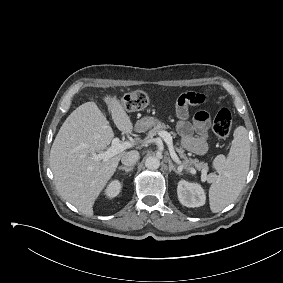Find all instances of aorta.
<instances>
[{
    "mask_svg": "<svg viewBox=\"0 0 283 283\" xmlns=\"http://www.w3.org/2000/svg\"><path fill=\"white\" fill-rule=\"evenodd\" d=\"M145 166L147 169L156 170L160 166V160L157 157L150 156L145 160Z\"/></svg>",
    "mask_w": 283,
    "mask_h": 283,
    "instance_id": "aorta-1",
    "label": "aorta"
}]
</instances>
